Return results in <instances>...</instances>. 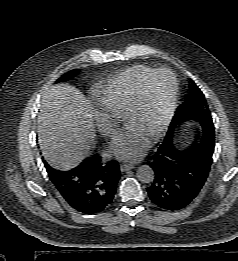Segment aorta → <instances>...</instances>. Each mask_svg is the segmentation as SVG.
<instances>
[{"label":"aorta","instance_id":"aorta-1","mask_svg":"<svg viewBox=\"0 0 238 261\" xmlns=\"http://www.w3.org/2000/svg\"><path fill=\"white\" fill-rule=\"evenodd\" d=\"M136 176L142 183H150L154 180V170L148 165H142L137 169Z\"/></svg>","mask_w":238,"mask_h":261}]
</instances>
